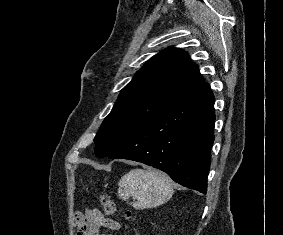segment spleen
I'll list each match as a JSON object with an SVG mask.
<instances>
[{
  "label": "spleen",
  "instance_id": "spleen-1",
  "mask_svg": "<svg viewBox=\"0 0 283 235\" xmlns=\"http://www.w3.org/2000/svg\"><path fill=\"white\" fill-rule=\"evenodd\" d=\"M118 196L124 201L130 197L137 201L131 205L136 209L160 206L170 200L174 192L171 178L156 170L132 169L121 177Z\"/></svg>",
  "mask_w": 283,
  "mask_h": 235
}]
</instances>
